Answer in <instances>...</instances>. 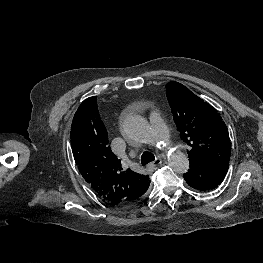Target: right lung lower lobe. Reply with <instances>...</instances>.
Segmentation results:
<instances>
[{
    "label": "right lung lower lobe",
    "mask_w": 263,
    "mask_h": 263,
    "mask_svg": "<svg viewBox=\"0 0 263 263\" xmlns=\"http://www.w3.org/2000/svg\"><path fill=\"white\" fill-rule=\"evenodd\" d=\"M147 189H148V188L143 189V190L140 192V194H139L135 199H133L132 201L126 203L125 205H122L121 207H123V208H128V207H131V206L135 205L139 200H141L143 194L147 191Z\"/></svg>",
    "instance_id": "obj_1"
}]
</instances>
